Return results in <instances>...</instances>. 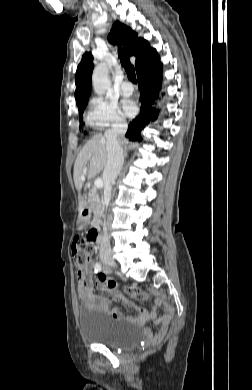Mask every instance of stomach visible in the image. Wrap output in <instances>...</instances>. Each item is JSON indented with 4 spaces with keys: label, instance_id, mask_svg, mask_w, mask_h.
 I'll use <instances>...</instances> for the list:
<instances>
[{
    "label": "stomach",
    "instance_id": "1",
    "mask_svg": "<svg viewBox=\"0 0 252 390\" xmlns=\"http://www.w3.org/2000/svg\"><path fill=\"white\" fill-rule=\"evenodd\" d=\"M78 228L82 229L85 226V220L83 218H80L77 222Z\"/></svg>",
    "mask_w": 252,
    "mask_h": 390
}]
</instances>
